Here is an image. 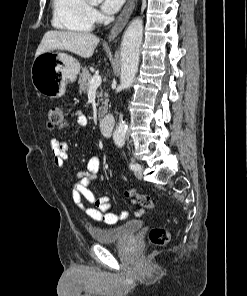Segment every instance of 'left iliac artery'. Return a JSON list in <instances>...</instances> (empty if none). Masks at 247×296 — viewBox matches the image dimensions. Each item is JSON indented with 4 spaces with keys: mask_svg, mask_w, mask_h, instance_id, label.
<instances>
[{
    "mask_svg": "<svg viewBox=\"0 0 247 296\" xmlns=\"http://www.w3.org/2000/svg\"><path fill=\"white\" fill-rule=\"evenodd\" d=\"M139 168H140V165L137 164V163H131V164H130V169H131V170L136 171V170H138Z\"/></svg>",
    "mask_w": 247,
    "mask_h": 296,
    "instance_id": "left-iliac-artery-1",
    "label": "left iliac artery"
}]
</instances>
